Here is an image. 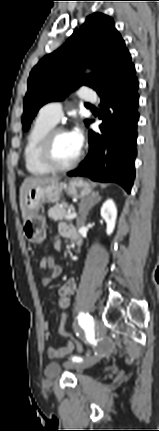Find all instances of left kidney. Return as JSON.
<instances>
[{
  "label": "left kidney",
  "instance_id": "1",
  "mask_svg": "<svg viewBox=\"0 0 159 431\" xmlns=\"http://www.w3.org/2000/svg\"><path fill=\"white\" fill-rule=\"evenodd\" d=\"M101 217L105 220L107 224V235H111L114 231L117 218V208L112 199H108L103 204L101 208Z\"/></svg>",
  "mask_w": 159,
  "mask_h": 431
}]
</instances>
